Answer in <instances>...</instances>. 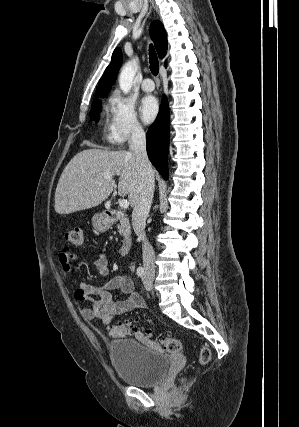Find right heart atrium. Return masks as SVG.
<instances>
[{
  "label": "right heart atrium",
  "instance_id": "d8ad5b80",
  "mask_svg": "<svg viewBox=\"0 0 299 427\" xmlns=\"http://www.w3.org/2000/svg\"><path fill=\"white\" fill-rule=\"evenodd\" d=\"M108 124L107 139L116 146L142 136L144 129L140 124L133 103L119 92H113L107 101Z\"/></svg>",
  "mask_w": 299,
  "mask_h": 427
}]
</instances>
